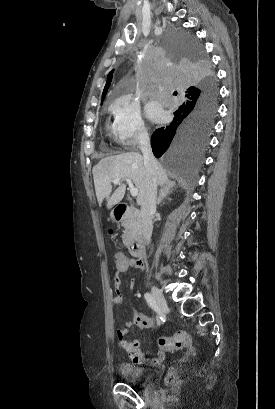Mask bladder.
Wrapping results in <instances>:
<instances>
[{"mask_svg": "<svg viewBox=\"0 0 275 409\" xmlns=\"http://www.w3.org/2000/svg\"><path fill=\"white\" fill-rule=\"evenodd\" d=\"M122 379L130 385L140 386L142 382H152L151 368H143L138 363L125 362L120 365Z\"/></svg>", "mask_w": 275, "mask_h": 409, "instance_id": "1", "label": "bladder"}]
</instances>
